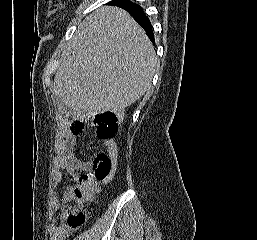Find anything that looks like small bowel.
Listing matches in <instances>:
<instances>
[{
	"label": "small bowel",
	"instance_id": "1",
	"mask_svg": "<svg viewBox=\"0 0 257 240\" xmlns=\"http://www.w3.org/2000/svg\"><path fill=\"white\" fill-rule=\"evenodd\" d=\"M79 134L71 132L67 127H61L55 144V159L53 166V184L58 186L64 175H71L78 181L81 172H87L91 169V163L81 160L74 153ZM108 154L114 159L117 156V146L113 139L103 142ZM72 190L67 187L63 198ZM59 201L54 199L50 207V222L48 225V234L50 240H65L72 234L73 229L59 219L57 212L59 210Z\"/></svg>",
	"mask_w": 257,
	"mask_h": 240
}]
</instances>
